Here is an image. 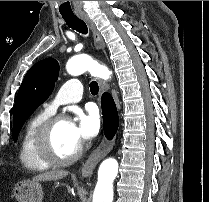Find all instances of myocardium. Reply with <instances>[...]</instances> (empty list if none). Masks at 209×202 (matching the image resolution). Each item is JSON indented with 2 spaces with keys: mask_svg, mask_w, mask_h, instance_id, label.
I'll return each instance as SVG.
<instances>
[{
  "mask_svg": "<svg viewBox=\"0 0 209 202\" xmlns=\"http://www.w3.org/2000/svg\"><path fill=\"white\" fill-rule=\"evenodd\" d=\"M68 121L66 115H55L47 118L39 127L35 139L34 150L39 158L48 165L66 166L76 162L82 155L83 149L78 150L69 157H60L52 149L51 137L55 128L62 122Z\"/></svg>",
  "mask_w": 209,
  "mask_h": 202,
  "instance_id": "myocardium-1",
  "label": "myocardium"
}]
</instances>
